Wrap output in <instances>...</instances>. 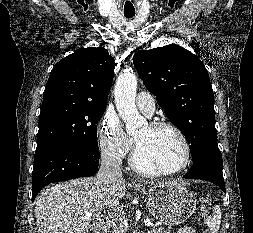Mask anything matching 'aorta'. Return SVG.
I'll return each instance as SVG.
<instances>
[{
	"label": "aorta",
	"mask_w": 253,
	"mask_h": 233,
	"mask_svg": "<svg viewBox=\"0 0 253 233\" xmlns=\"http://www.w3.org/2000/svg\"><path fill=\"white\" fill-rule=\"evenodd\" d=\"M136 91L137 77L133 70L126 69L121 72L114 88L115 104L129 134L136 133L147 124L136 108Z\"/></svg>",
	"instance_id": "762f6f07"
}]
</instances>
